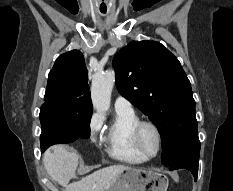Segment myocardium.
Returning a JSON list of instances; mask_svg holds the SVG:
<instances>
[{"label": "myocardium", "mask_w": 233, "mask_h": 191, "mask_svg": "<svg viewBox=\"0 0 233 191\" xmlns=\"http://www.w3.org/2000/svg\"><path fill=\"white\" fill-rule=\"evenodd\" d=\"M150 127L154 130L157 137V150L153 155L147 154L141 144V132L143 128ZM133 142L138 149V151L147 159L155 158L161 151L162 148V134L156 123L150 120H139L133 128L132 131Z\"/></svg>", "instance_id": "f54148a6"}]
</instances>
